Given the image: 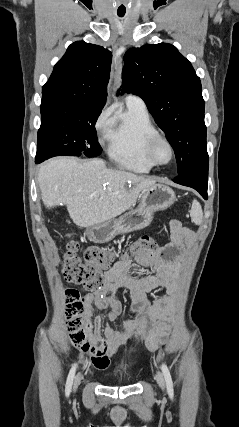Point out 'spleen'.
Returning <instances> with one entry per match:
<instances>
[{
    "label": "spleen",
    "mask_w": 239,
    "mask_h": 427,
    "mask_svg": "<svg viewBox=\"0 0 239 427\" xmlns=\"http://www.w3.org/2000/svg\"><path fill=\"white\" fill-rule=\"evenodd\" d=\"M190 216H191V220L196 224V225H201L202 224V219H203V212H202V208L200 203L197 200H193L192 202V207L190 210Z\"/></svg>",
    "instance_id": "spleen-1"
}]
</instances>
